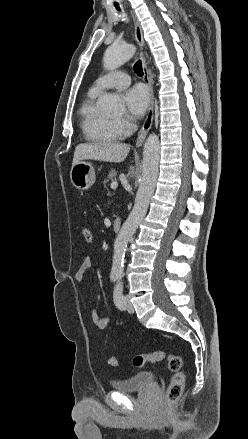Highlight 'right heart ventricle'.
<instances>
[{"label":"right heart ventricle","mask_w":248,"mask_h":439,"mask_svg":"<svg viewBox=\"0 0 248 439\" xmlns=\"http://www.w3.org/2000/svg\"><path fill=\"white\" fill-rule=\"evenodd\" d=\"M100 93L89 91L80 109L81 128L86 139L93 143H114L124 137L116 125V121L101 114L98 110Z\"/></svg>","instance_id":"obj_1"}]
</instances>
